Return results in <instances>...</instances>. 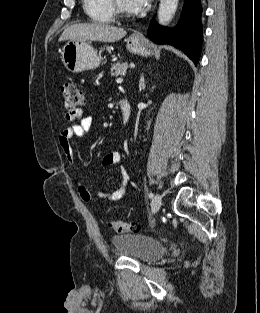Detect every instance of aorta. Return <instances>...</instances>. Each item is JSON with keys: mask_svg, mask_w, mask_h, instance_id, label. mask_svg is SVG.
<instances>
[{"mask_svg": "<svg viewBox=\"0 0 260 313\" xmlns=\"http://www.w3.org/2000/svg\"><path fill=\"white\" fill-rule=\"evenodd\" d=\"M179 0H160L158 9V21L161 25H167L176 12Z\"/></svg>", "mask_w": 260, "mask_h": 313, "instance_id": "1", "label": "aorta"}]
</instances>
